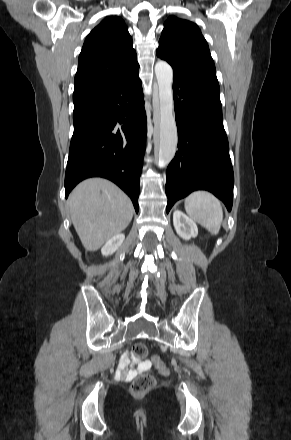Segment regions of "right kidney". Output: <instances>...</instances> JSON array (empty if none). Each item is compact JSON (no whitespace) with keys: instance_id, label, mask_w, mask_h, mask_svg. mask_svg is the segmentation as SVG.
Masks as SVG:
<instances>
[{"instance_id":"ca27d5eb","label":"right kidney","mask_w":291,"mask_h":440,"mask_svg":"<svg viewBox=\"0 0 291 440\" xmlns=\"http://www.w3.org/2000/svg\"><path fill=\"white\" fill-rule=\"evenodd\" d=\"M124 239H125V235L122 233H118V234L114 235L102 247V249H101L102 255L109 256V255L113 254L122 245Z\"/></svg>"}]
</instances>
